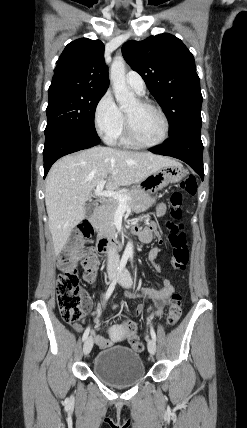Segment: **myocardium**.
<instances>
[{
  "mask_svg": "<svg viewBox=\"0 0 247 428\" xmlns=\"http://www.w3.org/2000/svg\"><path fill=\"white\" fill-rule=\"evenodd\" d=\"M137 103L140 106L147 107V108L154 110L160 116V118L163 122L164 131H163L162 137L158 141H156V142H143L136 137V135L134 134V132L131 128L130 122H129L126 114H124L125 131H126L127 138L129 139V141L133 145L138 146V147H142V148H154V147H158V146L164 144L168 140L169 134H170V123H169V120L167 118V115L162 110V108H160L158 105H156L150 101H147L144 99H138Z\"/></svg>",
  "mask_w": 247,
  "mask_h": 428,
  "instance_id": "obj_1",
  "label": "myocardium"
}]
</instances>
